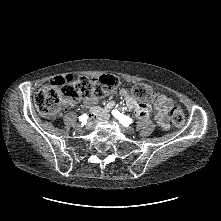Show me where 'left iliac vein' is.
<instances>
[{
	"label": "left iliac vein",
	"mask_w": 221,
	"mask_h": 221,
	"mask_svg": "<svg viewBox=\"0 0 221 221\" xmlns=\"http://www.w3.org/2000/svg\"><path fill=\"white\" fill-rule=\"evenodd\" d=\"M123 132L132 133L134 131L133 127H122Z\"/></svg>",
	"instance_id": "obj_1"
}]
</instances>
